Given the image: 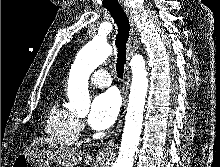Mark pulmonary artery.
Returning a JSON list of instances; mask_svg holds the SVG:
<instances>
[{"label": "pulmonary artery", "instance_id": "pulmonary-artery-1", "mask_svg": "<svg viewBox=\"0 0 220 167\" xmlns=\"http://www.w3.org/2000/svg\"><path fill=\"white\" fill-rule=\"evenodd\" d=\"M90 82L97 87H108L112 83L109 73L104 69L94 71L90 76Z\"/></svg>", "mask_w": 220, "mask_h": 167}]
</instances>
